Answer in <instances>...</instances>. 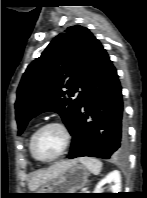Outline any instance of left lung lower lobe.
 <instances>
[{"mask_svg":"<svg viewBox=\"0 0 147 198\" xmlns=\"http://www.w3.org/2000/svg\"><path fill=\"white\" fill-rule=\"evenodd\" d=\"M68 159L122 157L127 131L121 85L106 50L96 39Z\"/></svg>","mask_w":147,"mask_h":198,"instance_id":"0a47b994","label":"left lung lower lobe"}]
</instances>
